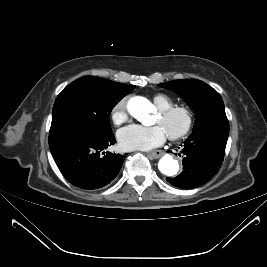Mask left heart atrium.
Returning <instances> with one entry per match:
<instances>
[{
	"mask_svg": "<svg viewBox=\"0 0 267 267\" xmlns=\"http://www.w3.org/2000/svg\"><path fill=\"white\" fill-rule=\"evenodd\" d=\"M166 136L160 125L145 127L132 124L118 132V141L125 150H150L163 144Z\"/></svg>",
	"mask_w": 267,
	"mask_h": 267,
	"instance_id": "1",
	"label": "left heart atrium"
}]
</instances>
